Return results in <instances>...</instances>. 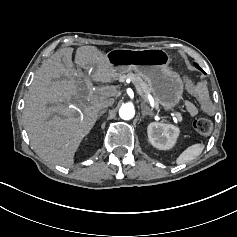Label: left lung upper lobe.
<instances>
[{"label": "left lung upper lobe", "instance_id": "1", "mask_svg": "<svg viewBox=\"0 0 237 237\" xmlns=\"http://www.w3.org/2000/svg\"><path fill=\"white\" fill-rule=\"evenodd\" d=\"M195 66H196L199 70H201L203 73H205V72L199 67L198 64L195 63Z\"/></svg>", "mask_w": 237, "mask_h": 237}]
</instances>
